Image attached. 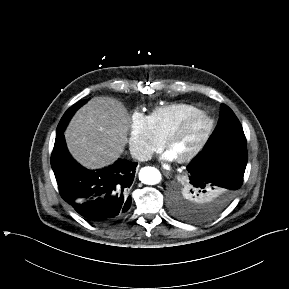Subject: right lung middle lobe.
<instances>
[{
	"instance_id": "1",
	"label": "right lung middle lobe",
	"mask_w": 289,
	"mask_h": 289,
	"mask_svg": "<svg viewBox=\"0 0 289 289\" xmlns=\"http://www.w3.org/2000/svg\"><path fill=\"white\" fill-rule=\"evenodd\" d=\"M88 100H81L79 102H77L76 104H74L72 107H70L65 114L63 115L62 119L60 120V123L57 127L56 130V135L60 134L61 132L64 131L68 121L70 120V118L72 117V115L75 113V111L77 109H79L83 104H85Z\"/></svg>"
}]
</instances>
